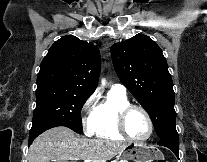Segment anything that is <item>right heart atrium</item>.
Returning <instances> with one entry per match:
<instances>
[{"instance_id": "1", "label": "right heart atrium", "mask_w": 207, "mask_h": 162, "mask_svg": "<svg viewBox=\"0 0 207 162\" xmlns=\"http://www.w3.org/2000/svg\"><path fill=\"white\" fill-rule=\"evenodd\" d=\"M97 95L91 94L82 106V124L86 135L93 133L94 112L96 108Z\"/></svg>"}]
</instances>
